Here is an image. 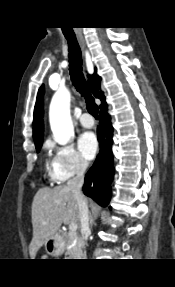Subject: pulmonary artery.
Wrapping results in <instances>:
<instances>
[{
	"label": "pulmonary artery",
	"instance_id": "e3ab8cb5",
	"mask_svg": "<svg viewBox=\"0 0 175 287\" xmlns=\"http://www.w3.org/2000/svg\"><path fill=\"white\" fill-rule=\"evenodd\" d=\"M79 121L81 125L84 126L85 128H91L94 126V119L88 113L81 115Z\"/></svg>",
	"mask_w": 175,
	"mask_h": 287
}]
</instances>
